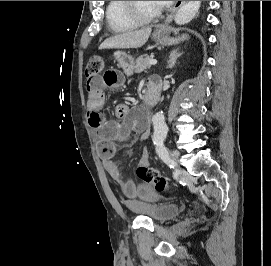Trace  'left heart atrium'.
Here are the masks:
<instances>
[{"label":"left heart atrium","mask_w":271,"mask_h":266,"mask_svg":"<svg viewBox=\"0 0 271 266\" xmlns=\"http://www.w3.org/2000/svg\"><path fill=\"white\" fill-rule=\"evenodd\" d=\"M173 1H154L156 7L161 10L167 6H169Z\"/></svg>","instance_id":"39dd6f15"}]
</instances>
